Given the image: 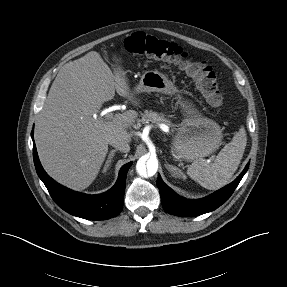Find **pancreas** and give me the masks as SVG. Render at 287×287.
<instances>
[{"instance_id":"pancreas-1","label":"pancreas","mask_w":287,"mask_h":287,"mask_svg":"<svg viewBox=\"0 0 287 287\" xmlns=\"http://www.w3.org/2000/svg\"><path fill=\"white\" fill-rule=\"evenodd\" d=\"M141 122L142 123H147V122H152V123H157V124H165L168 127H173L174 125L170 122V120L166 119L164 117V114L162 113H157L153 112L152 110L148 111L145 110L144 113H141Z\"/></svg>"}]
</instances>
